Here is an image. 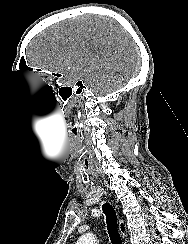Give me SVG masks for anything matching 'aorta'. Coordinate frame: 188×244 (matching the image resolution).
<instances>
[{"instance_id": "1", "label": "aorta", "mask_w": 188, "mask_h": 244, "mask_svg": "<svg viewBox=\"0 0 188 244\" xmlns=\"http://www.w3.org/2000/svg\"><path fill=\"white\" fill-rule=\"evenodd\" d=\"M76 244H97L96 237L91 233L84 234L79 238Z\"/></svg>"}]
</instances>
